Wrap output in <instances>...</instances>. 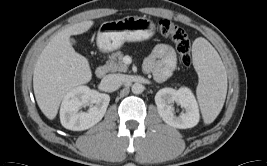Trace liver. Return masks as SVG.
Returning a JSON list of instances; mask_svg holds the SVG:
<instances>
[{
    "instance_id": "liver-1",
    "label": "liver",
    "mask_w": 267,
    "mask_h": 166,
    "mask_svg": "<svg viewBox=\"0 0 267 166\" xmlns=\"http://www.w3.org/2000/svg\"><path fill=\"white\" fill-rule=\"evenodd\" d=\"M91 20L74 24L55 35L41 52L34 68L33 88L43 114L53 120L65 95L91 80L88 60L70 43L71 35L88 31Z\"/></svg>"
}]
</instances>
